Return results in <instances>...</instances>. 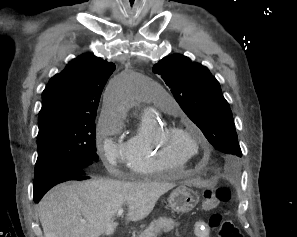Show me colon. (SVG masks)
<instances>
[{
    "mask_svg": "<svg viewBox=\"0 0 297 237\" xmlns=\"http://www.w3.org/2000/svg\"><path fill=\"white\" fill-rule=\"evenodd\" d=\"M230 200V190L220 186L204 192L202 206L205 210H214L219 204ZM209 226L216 229L220 237H244L239 228L231 221L224 219L221 214L214 213L209 219Z\"/></svg>",
    "mask_w": 297,
    "mask_h": 237,
    "instance_id": "1",
    "label": "colon"
}]
</instances>
